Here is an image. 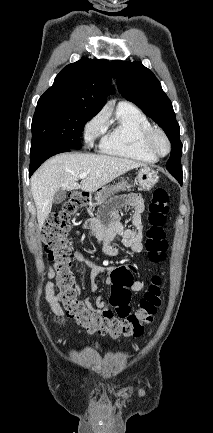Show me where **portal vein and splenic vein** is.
Here are the masks:
<instances>
[{
  "instance_id": "1",
  "label": "portal vein and splenic vein",
  "mask_w": 213,
  "mask_h": 433,
  "mask_svg": "<svg viewBox=\"0 0 213 433\" xmlns=\"http://www.w3.org/2000/svg\"><path fill=\"white\" fill-rule=\"evenodd\" d=\"M86 177H87L86 173H81V174L78 175V178H80V179H84Z\"/></svg>"
}]
</instances>
